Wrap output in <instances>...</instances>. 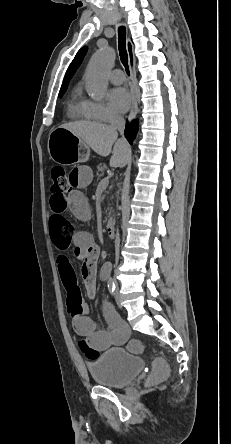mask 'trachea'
<instances>
[{
	"label": "trachea",
	"instance_id": "3493384b",
	"mask_svg": "<svg viewBox=\"0 0 231 444\" xmlns=\"http://www.w3.org/2000/svg\"><path fill=\"white\" fill-rule=\"evenodd\" d=\"M118 48L121 62L125 67L126 73L130 75L128 53L126 49V29L123 26H120L118 29Z\"/></svg>",
	"mask_w": 231,
	"mask_h": 444
}]
</instances>
